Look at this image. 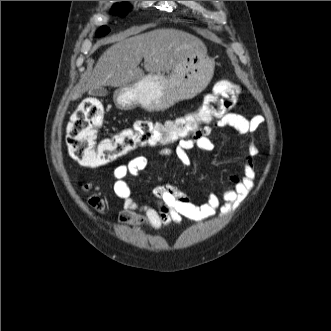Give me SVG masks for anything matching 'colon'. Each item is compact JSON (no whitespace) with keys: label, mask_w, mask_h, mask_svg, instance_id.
Instances as JSON below:
<instances>
[{"label":"colon","mask_w":331,"mask_h":331,"mask_svg":"<svg viewBox=\"0 0 331 331\" xmlns=\"http://www.w3.org/2000/svg\"><path fill=\"white\" fill-rule=\"evenodd\" d=\"M239 94L235 83L222 80L197 112L166 121L138 120L99 142L96 133L104 121V108L99 100L88 98L79 105L69 123L66 139L69 154L82 165L98 167L138 147L175 143L192 136L203 124L223 117L236 104ZM90 203L94 207L101 206L98 198H92Z\"/></svg>","instance_id":"1"}]
</instances>
